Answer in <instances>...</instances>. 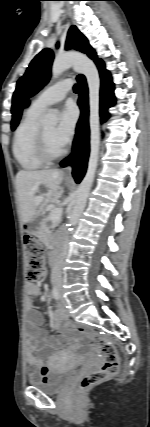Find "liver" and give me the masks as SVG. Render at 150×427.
I'll use <instances>...</instances> for the list:
<instances>
[{"label":"liver","mask_w":150,"mask_h":427,"mask_svg":"<svg viewBox=\"0 0 150 427\" xmlns=\"http://www.w3.org/2000/svg\"><path fill=\"white\" fill-rule=\"evenodd\" d=\"M63 172L59 170L19 171L16 175L17 195L23 223H28L39 216L40 211L49 203H57L63 194L60 186ZM44 185L48 192L44 200L37 204L35 194L39 186Z\"/></svg>","instance_id":"1"}]
</instances>
